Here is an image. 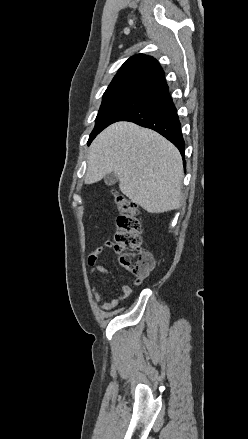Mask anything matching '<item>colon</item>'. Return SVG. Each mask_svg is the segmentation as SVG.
Instances as JSON below:
<instances>
[{"label": "colon", "mask_w": 248, "mask_h": 439, "mask_svg": "<svg viewBox=\"0 0 248 439\" xmlns=\"http://www.w3.org/2000/svg\"><path fill=\"white\" fill-rule=\"evenodd\" d=\"M115 203L118 209L116 229L113 238L115 250L120 254V263L140 285L154 268V259L142 247L141 222L137 204L128 197L116 193Z\"/></svg>", "instance_id": "1"}]
</instances>
